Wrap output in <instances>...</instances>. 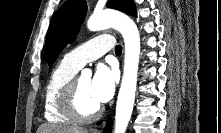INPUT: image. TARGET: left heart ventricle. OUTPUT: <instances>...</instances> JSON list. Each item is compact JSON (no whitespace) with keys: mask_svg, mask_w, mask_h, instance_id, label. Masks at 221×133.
Returning <instances> with one entry per match:
<instances>
[{"mask_svg":"<svg viewBox=\"0 0 221 133\" xmlns=\"http://www.w3.org/2000/svg\"><path fill=\"white\" fill-rule=\"evenodd\" d=\"M100 104L91 92V78L80 77L78 85V106L83 114L94 112Z\"/></svg>","mask_w":221,"mask_h":133,"instance_id":"obj_1","label":"left heart ventricle"}]
</instances>
